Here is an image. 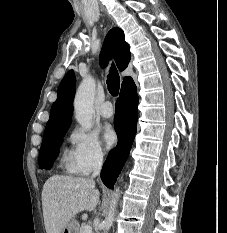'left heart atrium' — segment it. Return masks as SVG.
I'll list each match as a JSON object with an SVG mask.
<instances>
[{
	"mask_svg": "<svg viewBox=\"0 0 227 233\" xmlns=\"http://www.w3.org/2000/svg\"><path fill=\"white\" fill-rule=\"evenodd\" d=\"M103 140L108 148L116 143L117 135L112 127L105 128L103 132Z\"/></svg>",
	"mask_w": 227,
	"mask_h": 233,
	"instance_id": "obj_1",
	"label": "left heart atrium"
}]
</instances>
